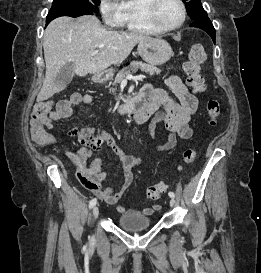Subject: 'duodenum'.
Masks as SVG:
<instances>
[{"label": "duodenum", "instance_id": "duodenum-1", "mask_svg": "<svg viewBox=\"0 0 261 273\" xmlns=\"http://www.w3.org/2000/svg\"><path fill=\"white\" fill-rule=\"evenodd\" d=\"M107 80L105 74L97 75L94 78L96 84L103 83ZM154 105L151 98L143 92L137 95L129 102L122 103L118 106V112L121 114H131L137 124L145 123L154 112Z\"/></svg>", "mask_w": 261, "mask_h": 273}]
</instances>
